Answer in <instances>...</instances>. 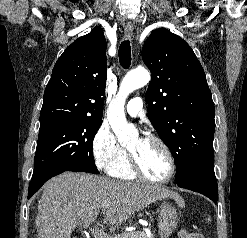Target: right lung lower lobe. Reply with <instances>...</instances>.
I'll list each match as a JSON object with an SVG mask.
<instances>
[{"mask_svg":"<svg viewBox=\"0 0 247 238\" xmlns=\"http://www.w3.org/2000/svg\"><path fill=\"white\" fill-rule=\"evenodd\" d=\"M65 171H68V170H66V169H56V170L50 171V172L46 173V174L44 175V177L41 178L38 182L33 183V184H30V185H29V191H28V198H31V196H32L35 192H37V191L40 189V187H41L47 180H49V179L52 178L53 176H56V175H58V174H60V173L65 172Z\"/></svg>","mask_w":247,"mask_h":238,"instance_id":"obj_1","label":"right lung lower lobe"}]
</instances>
